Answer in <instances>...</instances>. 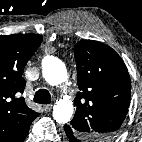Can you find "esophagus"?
I'll list each match as a JSON object with an SVG mask.
<instances>
[{
  "label": "esophagus",
  "mask_w": 142,
  "mask_h": 142,
  "mask_svg": "<svg viewBox=\"0 0 142 142\" xmlns=\"http://www.w3.org/2000/svg\"><path fill=\"white\" fill-rule=\"evenodd\" d=\"M52 107H53L52 104H48V105H44L43 109H44L45 112H50Z\"/></svg>",
  "instance_id": "esophagus-1"
}]
</instances>
